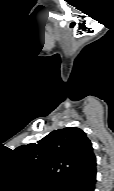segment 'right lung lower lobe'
<instances>
[{"mask_svg":"<svg viewBox=\"0 0 114 191\" xmlns=\"http://www.w3.org/2000/svg\"><path fill=\"white\" fill-rule=\"evenodd\" d=\"M96 183V169L62 184L56 191H94Z\"/></svg>","mask_w":114,"mask_h":191,"instance_id":"obj_1","label":"right lung lower lobe"}]
</instances>
